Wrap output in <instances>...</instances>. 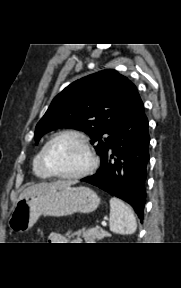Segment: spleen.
Here are the masks:
<instances>
[{
  "label": "spleen",
  "mask_w": 181,
  "mask_h": 288,
  "mask_svg": "<svg viewBox=\"0 0 181 288\" xmlns=\"http://www.w3.org/2000/svg\"><path fill=\"white\" fill-rule=\"evenodd\" d=\"M110 230L115 234L129 235L135 233L137 223L132 209L120 199H110Z\"/></svg>",
  "instance_id": "1"
}]
</instances>
